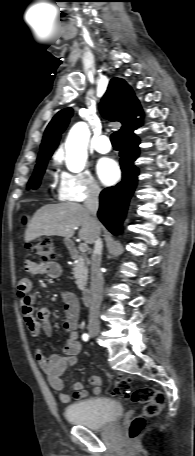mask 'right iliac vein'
<instances>
[{
	"instance_id": "63e3f726",
	"label": "right iliac vein",
	"mask_w": 195,
	"mask_h": 456,
	"mask_svg": "<svg viewBox=\"0 0 195 456\" xmlns=\"http://www.w3.org/2000/svg\"><path fill=\"white\" fill-rule=\"evenodd\" d=\"M89 333L92 337H96L99 334V328L96 326H92L89 328Z\"/></svg>"
}]
</instances>
